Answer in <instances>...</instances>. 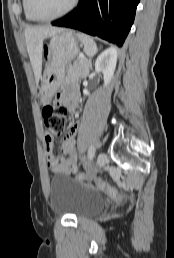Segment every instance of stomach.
I'll return each instance as SVG.
<instances>
[{"label":"stomach","instance_id":"1","mask_svg":"<svg viewBox=\"0 0 174 258\" xmlns=\"http://www.w3.org/2000/svg\"><path fill=\"white\" fill-rule=\"evenodd\" d=\"M78 53V40L72 31H62L51 37L47 45V61L40 89L41 98L45 103L51 101L63 82L66 65L75 59Z\"/></svg>","mask_w":174,"mask_h":258}]
</instances>
